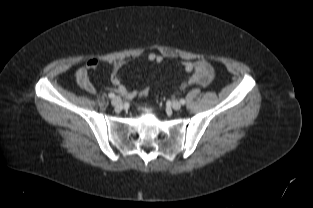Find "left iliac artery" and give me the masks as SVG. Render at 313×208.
Masks as SVG:
<instances>
[{
  "label": "left iliac artery",
  "instance_id": "44dca946",
  "mask_svg": "<svg viewBox=\"0 0 313 208\" xmlns=\"http://www.w3.org/2000/svg\"><path fill=\"white\" fill-rule=\"evenodd\" d=\"M185 102H186V101H185L184 99H180V103H181V104H185Z\"/></svg>",
  "mask_w": 313,
  "mask_h": 208
}]
</instances>
